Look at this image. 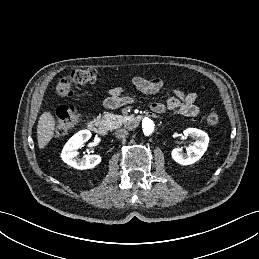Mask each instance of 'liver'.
Masks as SVG:
<instances>
[{
	"label": "liver",
	"instance_id": "6515ba94",
	"mask_svg": "<svg viewBox=\"0 0 259 259\" xmlns=\"http://www.w3.org/2000/svg\"><path fill=\"white\" fill-rule=\"evenodd\" d=\"M56 121L50 112H44L37 125V140L39 149H44L54 136Z\"/></svg>",
	"mask_w": 259,
	"mask_h": 259
}]
</instances>
